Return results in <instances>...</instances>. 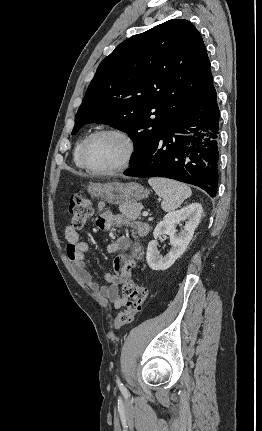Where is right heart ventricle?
<instances>
[{"mask_svg":"<svg viewBox=\"0 0 262 431\" xmlns=\"http://www.w3.org/2000/svg\"><path fill=\"white\" fill-rule=\"evenodd\" d=\"M85 139L86 138L81 139L77 143V145L75 146L74 151H73V162H74L75 166L79 169H83V166H82L81 161H80V152H81V149H82V146H83Z\"/></svg>","mask_w":262,"mask_h":431,"instance_id":"obj_1","label":"right heart ventricle"}]
</instances>
